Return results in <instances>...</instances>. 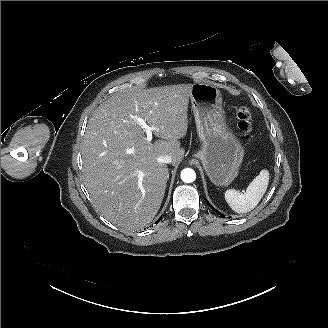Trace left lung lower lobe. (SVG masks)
<instances>
[{"label": "left lung lower lobe", "mask_w": 328, "mask_h": 328, "mask_svg": "<svg viewBox=\"0 0 328 328\" xmlns=\"http://www.w3.org/2000/svg\"><path fill=\"white\" fill-rule=\"evenodd\" d=\"M207 204L216 212V213H218L222 218H224L225 217V215H223L222 213H220V212H218L215 208H213L211 205H210V203H208V201H207Z\"/></svg>", "instance_id": "left-lung-lower-lobe-1"}]
</instances>
